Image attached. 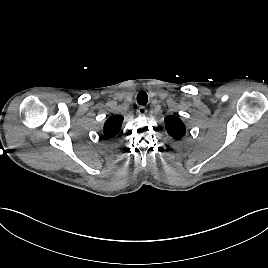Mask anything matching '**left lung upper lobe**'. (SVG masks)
Returning a JSON list of instances; mask_svg holds the SVG:
<instances>
[{"instance_id":"left-lung-upper-lobe-1","label":"left lung upper lobe","mask_w":268,"mask_h":268,"mask_svg":"<svg viewBox=\"0 0 268 268\" xmlns=\"http://www.w3.org/2000/svg\"><path fill=\"white\" fill-rule=\"evenodd\" d=\"M165 127L168 134L175 140H181L186 133L184 123L177 116H168L165 118Z\"/></svg>"}]
</instances>
